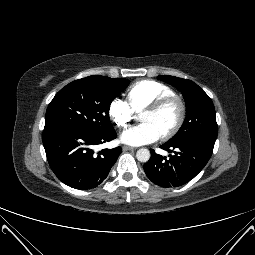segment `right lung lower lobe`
<instances>
[{
    "label": "right lung lower lobe",
    "mask_w": 255,
    "mask_h": 255,
    "mask_svg": "<svg viewBox=\"0 0 255 255\" xmlns=\"http://www.w3.org/2000/svg\"><path fill=\"white\" fill-rule=\"evenodd\" d=\"M115 130L95 135L78 128H55L43 131V145L49 165L66 185L76 189H92L107 177L121 147L103 149L97 154L93 146L116 138Z\"/></svg>",
    "instance_id": "right-lung-lower-lobe-1"
}]
</instances>
